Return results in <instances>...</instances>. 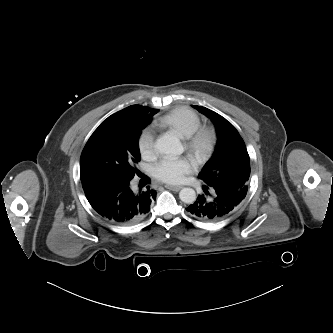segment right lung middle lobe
I'll return each mask as SVG.
<instances>
[{"label": "right lung middle lobe", "mask_w": 333, "mask_h": 333, "mask_svg": "<svg viewBox=\"0 0 333 333\" xmlns=\"http://www.w3.org/2000/svg\"><path fill=\"white\" fill-rule=\"evenodd\" d=\"M159 110L132 105L104 120L86 143L80 158V179L130 180L139 173V136Z\"/></svg>", "instance_id": "1"}]
</instances>
